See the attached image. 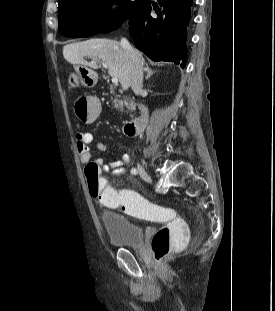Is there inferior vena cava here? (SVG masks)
<instances>
[{
  "label": "inferior vena cava",
  "instance_id": "inferior-vena-cava-1",
  "mask_svg": "<svg viewBox=\"0 0 275 311\" xmlns=\"http://www.w3.org/2000/svg\"><path fill=\"white\" fill-rule=\"evenodd\" d=\"M120 44L130 60L132 74L131 88L136 95H139L142 93L143 87V57L136 53L125 38L121 39Z\"/></svg>",
  "mask_w": 275,
  "mask_h": 311
}]
</instances>
